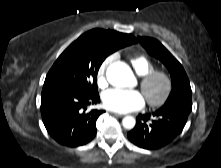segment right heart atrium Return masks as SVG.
<instances>
[{"label":"right heart atrium","instance_id":"obj_1","mask_svg":"<svg viewBox=\"0 0 221 168\" xmlns=\"http://www.w3.org/2000/svg\"><path fill=\"white\" fill-rule=\"evenodd\" d=\"M113 58V56H110L107 59H105L97 71V84L101 88L107 86L106 70L109 64L112 62Z\"/></svg>","mask_w":221,"mask_h":168}]
</instances>
